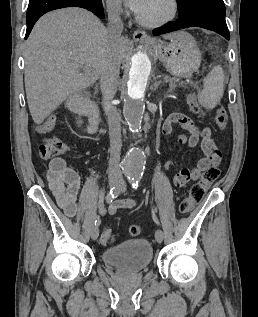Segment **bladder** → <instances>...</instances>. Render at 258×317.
<instances>
[{
    "instance_id": "31cf9c89",
    "label": "bladder",
    "mask_w": 258,
    "mask_h": 317,
    "mask_svg": "<svg viewBox=\"0 0 258 317\" xmlns=\"http://www.w3.org/2000/svg\"><path fill=\"white\" fill-rule=\"evenodd\" d=\"M152 257V246L144 239L126 241L110 247L102 253V260L105 264L130 271L146 268Z\"/></svg>"
}]
</instances>
